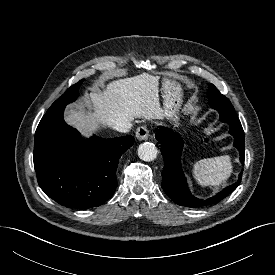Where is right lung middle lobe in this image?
Returning a JSON list of instances; mask_svg holds the SVG:
<instances>
[{
    "mask_svg": "<svg viewBox=\"0 0 275 275\" xmlns=\"http://www.w3.org/2000/svg\"><path fill=\"white\" fill-rule=\"evenodd\" d=\"M82 82L83 80L68 88L67 91L52 104L47 113L64 109L68 103L75 101L78 97V89Z\"/></svg>",
    "mask_w": 275,
    "mask_h": 275,
    "instance_id": "1",
    "label": "right lung middle lobe"
}]
</instances>
